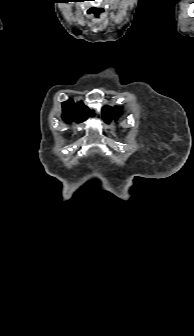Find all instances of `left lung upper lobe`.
<instances>
[{
  "label": "left lung upper lobe",
  "mask_w": 194,
  "mask_h": 336,
  "mask_svg": "<svg viewBox=\"0 0 194 336\" xmlns=\"http://www.w3.org/2000/svg\"><path fill=\"white\" fill-rule=\"evenodd\" d=\"M121 114L119 108L104 107L103 108V118L106 122L111 121L112 119H117Z\"/></svg>",
  "instance_id": "1"
}]
</instances>
